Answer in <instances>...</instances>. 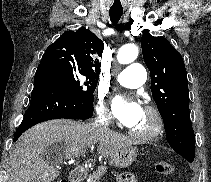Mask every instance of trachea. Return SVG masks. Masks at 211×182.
<instances>
[{
    "label": "trachea",
    "mask_w": 211,
    "mask_h": 182,
    "mask_svg": "<svg viewBox=\"0 0 211 182\" xmlns=\"http://www.w3.org/2000/svg\"><path fill=\"white\" fill-rule=\"evenodd\" d=\"M110 14V20L113 24H117L118 21L120 20V18L123 15V11H119V10H110L109 11Z\"/></svg>",
    "instance_id": "obj_1"
}]
</instances>
